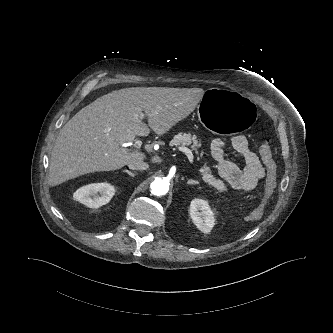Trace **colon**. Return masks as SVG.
I'll return each instance as SVG.
<instances>
[{
  "label": "colon",
  "mask_w": 333,
  "mask_h": 333,
  "mask_svg": "<svg viewBox=\"0 0 333 333\" xmlns=\"http://www.w3.org/2000/svg\"><path fill=\"white\" fill-rule=\"evenodd\" d=\"M259 154L267 171L265 198L262 204L251 212L249 216L250 219H258L263 215L267 201L274 192L277 181V165L273 159L272 149L269 143H264L260 146Z\"/></svg>",
  "instance_id": "5ec220e1"
}]
</instances>
